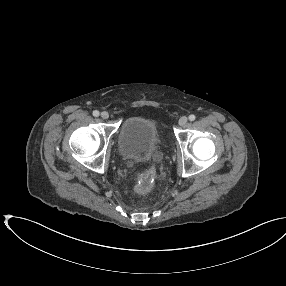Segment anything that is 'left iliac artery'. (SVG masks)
Listing matches in <instances>:
<instances>
[{
  "instance_id": "left-iliac-artery-1",
  "label": "left iliac artery",
  "mask_w": 286,
  "mask_h": 286,
  "mask_svg": "<svg viewBox=\"0 0 286 286\" xmlns=\"http://www.w3.org/2000/svg\"><path fill=\"white\" fill-rule=\"evenodd\" d=\"M195 119H196L195 115L191 114V115L189 116V120H190V121H194Z\"/></svg>"
}]
</instances>
